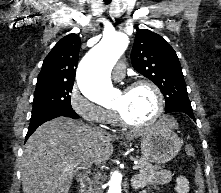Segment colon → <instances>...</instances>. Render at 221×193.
Masks as SVG:
<instances>
[{"label":"colon","mask_w":221,"mask_h":193,"mask_svg":"<svg viewBox=\"0 0 221 193\" xmlns=\"http://www.w3.org/2000/svg\"><path fill=\"white\" fill-rule=\"evenodd\" d=\"M188 155L195 157L196 151L195 147L191 144L187 145L185 148ZM194 182H195V192L196 193H204V179H203V171L202 167L198 165L194 171Z\"/></svg>","instance_id":"5ec220e1"}]
</instances>
